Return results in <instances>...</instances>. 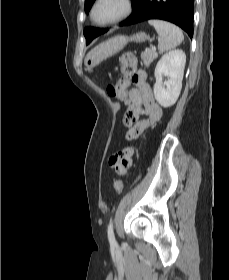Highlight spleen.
<instances>
[{
  "label": "spleen",
  "mask_w": 229,
  "mask_h": 280,
  "mask_svg": "<svg viewBox=\"0 0 229 280\" xmlns=\"http://www.w3.org/2000/svg\"><path fill=\"white\" fill-rule=\"evenodd\" d=\"M159 35L158 49L161 53L171 50L178 46L184 39L182 31L174 24L152 19L149 20Z\"/></svg>",
  "instance_id": "obj_1"
}]
</instances>
